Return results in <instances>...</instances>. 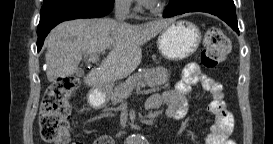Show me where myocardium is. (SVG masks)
<instances>
[{"mask_svg": "<svg viewBox=\"0 0 273 144\" xmlns=\"http://www.w3.org/2000/svg\"><path fill=\"white\" fill-rule=\"evenodd\" d=\"M168 0H165V1H161L158 3V5H156L155 7H149V9L152 11V12H160L164 7L165 5L167 4Z\"/></svg>", "mask_w": 273, "mask_h": 144, "instance_id": "obj_1", "label": "myocardium"}]
</instances>
